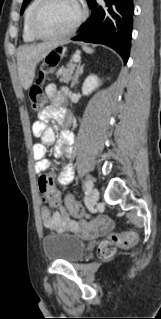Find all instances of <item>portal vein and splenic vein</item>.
Masks as SVG:
<instances>
[{
    "label": "portal vein and splenic vein",
    "instance_id": "portal-vein-and-splenic-vein-1",
    "mask_svg": "<svg viewBox=\"0 0 161 319\" xmlns=\"http://www.w3.org/2000/svg\"><path fill=\"white\" fill-rule=\"evenodd\" d=\"M73 59H74V62H79L80 61V56L79 55H74Z\"/></svg>",
    "mask_w": 161,
    "mask_h": 319
}]
</instances>
